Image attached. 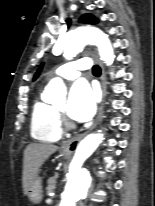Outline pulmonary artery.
Here are the masks:
<instances>
[{"label": "pulmonary artery", "mask_w": 155, "mask_h": 206, "mask_svg": "<svg viewBox=\"0 0 155 206\" xmlns=\"http://www.w3.org/2000/svg\"><path fill=\"white\" fill-rule=\"evenodd\" d=\"M91 66L89 58H82L76 61L67 62L59 66L53 73L54 76H59L65 79L77 78L81 71L89 69Z\"/></svg>", "instance_id": "pulmonary-artery-1"}]
</instances>
